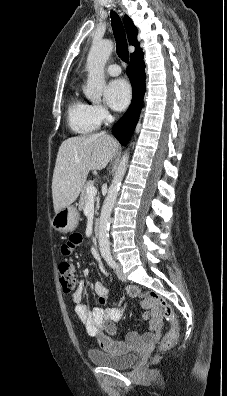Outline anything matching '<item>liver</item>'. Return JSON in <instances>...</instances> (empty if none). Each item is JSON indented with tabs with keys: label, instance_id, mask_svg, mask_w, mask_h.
<instances>
[{
	"label": "liver",
	"instance_id": "1",
	"mask_svg": "<svg viewBox=\"0 0 227 396\" xmlns=\"http://www.w3.org/2000/svg\"><path fill=\"white\" fill-rule=\"evenodd\" d=\"M118 149V142L105 133L71 137L61 143L52 179L55 213L77 199L88 173L104 169Z\"/></svg>",
	"mask_w": 227,
	"mask_h": 396
}]
</instances>
